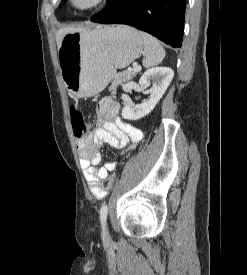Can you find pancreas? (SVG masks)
I'll use <instances>...</instances> for the list:
<instances>
[{
  "instance_id": "obj_1",
  "label": "pancreas",
  "mask_w": 247,
  "mask_h": 275,
  "mask_svg": "<svg viewBox=\"0 0 247 275\" xmlns=\"http://www.w3.org/2000/svg\"><path fill=\"white\" fill-rule=\"evenodd\" d=\"M135 76H136V72L131 71V70L119 72V73L115 76V78H114V80H113L111 86L109 87V90H110V91H115L116 88H117V86H118L119 84H122V83H124V82H128V81H130L131 79H133Z\"/></svg>"
}]
</instances>
